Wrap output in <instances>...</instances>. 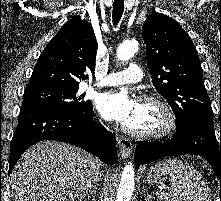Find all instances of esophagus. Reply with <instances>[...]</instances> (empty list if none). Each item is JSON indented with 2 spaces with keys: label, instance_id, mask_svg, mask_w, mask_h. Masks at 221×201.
Returning <instances> with one entry per match:
<instances>
[{
  "label": "esophagus",
  "instance_id": "obj_1",
  "mask_svg": "<svg viewBox=\"0 0 221 201\" xmlns=\"http://www.w3.org/2000/svg\"><path fill=\"white\" fill-rule=\"evenodd\" d=\"M117 142L119 145V150L121 157L123 159H127L132 152V144L131 141L124 136H117Z\"/></svg>",
  "mask_w": 221,
  "mask_h": 201
}]
</instances>
